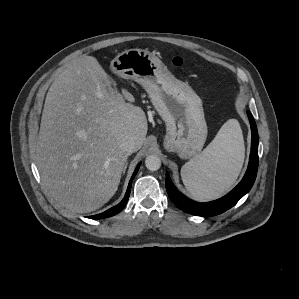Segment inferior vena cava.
<instances>
[{"label":"inferior vena cava","instance_id":"obj_1","mask_svg":"<svg viewBox=\"0 0 299 299\" xmlns=\"http://www.w3.org/2000/svg\"><path fill=\"white\" fill-rule=\"evenodd\" d=\"M120 149L126 155H130L136 150V143L134 140H124L120 143Z\"/></svg>","mask_w":299,"mask_h":299}]
</instances>
